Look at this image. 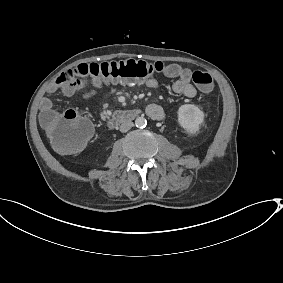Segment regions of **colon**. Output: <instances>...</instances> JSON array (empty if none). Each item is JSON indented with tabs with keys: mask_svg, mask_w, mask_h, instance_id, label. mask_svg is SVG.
Instances as JSON below:
<instances>
[{
	"mask_svg": "<svg viewBox=\"0 0 283 283\" xmlns=\"http://www.w3.org/2000/svg\"><path fill=\"white\" fill-rule=\"evenodd\" d=\"M162 69L163 65L160 62L123 60L80 64L76 68L62 73L60 77L67 82L91 78L96 85L105 82L136 84L151 78ZM192 80L203 92H210L213 88V79L206 72H194ZM41 124L54 148L66 154L80 151L91 137L93 131L88 118L72 109L63 113L56 111L43 112Z\"/></svg>",
	"mask_w": 283,
	"mask_h": 283,
	"instance_id": "1",
	"label": "colon"
}]
</instances>
